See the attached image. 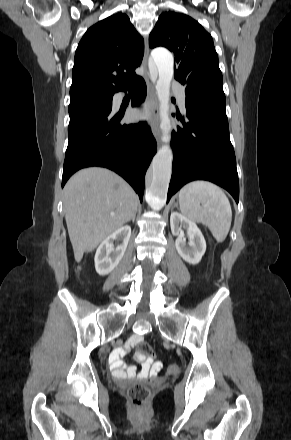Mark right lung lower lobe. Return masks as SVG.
Returning a JSON list of instances; mask_svg holds the SVG:
<instances>
[{
  "label": "right lung lower lobe",
  "mask_w": 291,
  "mask_h": 440,
  "mask_svg": "<svg viewBox=\"0 0 291 440\" xmlns=\"http://www.w3.org/2000/svg\"><path fill=\"white\" fill-rule=\"evenodd\" d=\"M128 88L134 90L133 106L144 101L146 84L143 78L138 77ZM112 97L70 102L69 143L62 187L77 170L101 166L121 175L142 201L145 173L156 153V141L145 122L120 124L123 114L112 109Z\"/></svg>",
  "instance_id": "obj_1"
}]
</instances>
